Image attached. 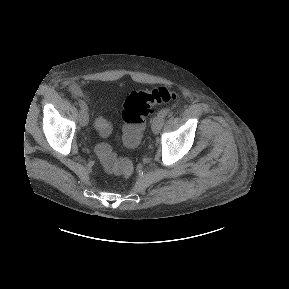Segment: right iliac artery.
Masks as SVG:
<instances>
[{"mask_svg": "<svg viewBox=\"0 0 289 289\" xmlns=\"http://www.w3.org/2000/svg\"><path fill=\"white\" fill-rule=\"evenodd\" d=\"M78 104L81 107V109H83V110H87L88 109V107H87V105H86V103L84 101L79 100Z\"/></svg>", "mask_w": 289, "mask_h": 289, "instance_id": "obj_1", "label": "right iliac artery"}]
</instances>
